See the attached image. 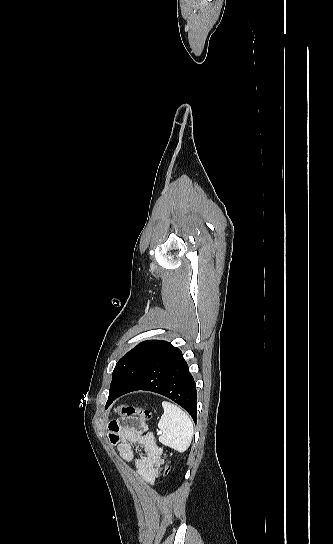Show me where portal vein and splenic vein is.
Segmentation results:
<instances>
[{
	"instance_id": "portal-vein-and-splenic-vein-1",
	"label": "portal vein and splenic vein",
	"mask_w": 333,
	"mask_h": 544,
	"mask_svg": "<svg viewBox=\"0 0 333 544\" xmlns=\"http://www.w3.org/2000/svg\"><path fill=\"white\" fill-rule=\"evenodd\" d=\"M161 433H162V432H160V431L158 432V434H161Z\"/></svg>"
}]
</instances>
